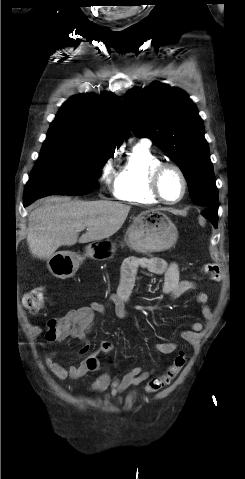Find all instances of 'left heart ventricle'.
<instances>
[{
  "label": "left heart ventricle",
  "instance_id": "left-heart-ventricle-1",
  "mask_svg": "<svg viewBox=\"0 0 245 479\" xmlns=\"http://www.w3.org/2000/svg\"><path fill=\"white\" fill-rule=\"evenodd\" d=\"M161 190L168 200H176L182 192V184L179 176L173 170L167 171L161 180Z\"/></svg>",
  "mask_w": 245,
  "mask_h": 479
}]
</instances>
